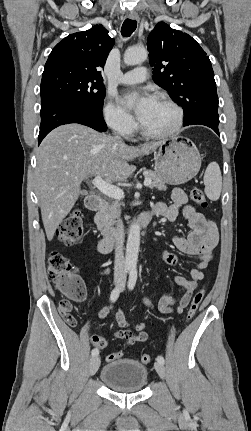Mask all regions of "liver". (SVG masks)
I'll use <instances>...</instances> for the list:
<instances>
[{
	"label": "liver",
	"mask_w": 251,
	"mask_h": 431,
	"mask_svg": "<svg viewBox=\"0 0 251 431\" xmlns=\"http://www.w3.org/2000/svg\"><path fill=\"white\" fill-rule=\"evenodd\" d=\"M161 142L128 146L89 127L71 123L51 131L37 149L35 187L49 241L81 194L88 177L126 180L134 168L128 161L155 151Z\"/></svg>",
	"instance_id": "liver-1"
}]
</instances>
